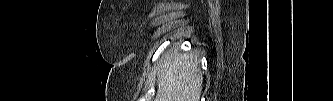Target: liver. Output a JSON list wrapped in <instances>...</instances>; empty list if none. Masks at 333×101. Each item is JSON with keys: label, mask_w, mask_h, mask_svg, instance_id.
Wrapping results in <instances>:
<instances>
[{"label": "liver", "mask_w": 333, "mask_h": 101, "mask_svg": "<svg viewBox=\"0 0 333 101\" xmlns=\"http://www.w3.org/2000/svg\"><path fill=\"white\" fill-rule=\"evenodd\" d=\"M194 53L177 51L162 64L155 101H199L203 76Z\"/></svg>", "instance_id": "obj_1"}]
</instances>
